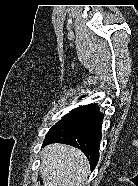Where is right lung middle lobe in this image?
Listing matches in <instances>:
<instances>
[{"label":"right lung middle lobe","instance_id":"1","mask_svg":"<svg viewBox=\"0 0 138 186\" xmlns=\"http://www.w3.org/2000/svg\"><path fill=\"white\" fill-rule=\"evenodd\" d=\"M81 107H79V108H76V109H74V110H72L70 113H68L67 115H65L64 117H63V119L62 120H60L58 123H56L54 126H52V128H50V130H49V132L51 131V130H53L60 122H62L64 119H66L68 116H70L71 114H73L74 112H76L78 109H80ZM48 132V133H49Z\"/></svg>","mask_w":138,"mask_h":186}]
</instances>
